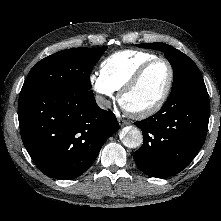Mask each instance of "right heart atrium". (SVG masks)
<instances>
[{"label": "right heart atrium", "mask_w": 221, "mask_h": 221, "mask_svg": "<svg viewBox=\"0 0 221 221\" xmlns=\"http://www.w3.org/2000/svg\"><path fill=\"white\" fill-rule=\"evenodd\" d=\"M89 83L92 89L97 93L99 101L102 105H108L110 99L113 98L114 90L106 82L101 73L94 72L89 76Z\"/></svg>", "instance_id": "1"}]
</instances>
